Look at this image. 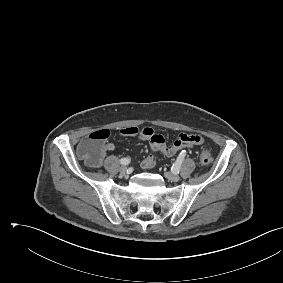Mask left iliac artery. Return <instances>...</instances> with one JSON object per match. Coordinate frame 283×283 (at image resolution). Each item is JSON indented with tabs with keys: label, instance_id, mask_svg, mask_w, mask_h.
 Wrapping results in <instances>:
<instances>
[{
	"label": "left iliac artery",
	"instance_id": "44dca946",
	"mask_svg": "<svg viewBox=\"0 0 283 283\" xmlns=\"http://www.w3.org/2000/svg\"><path fill=\"white\" fill-rule=\"evenodd\" d=\"M185 155H186V154H185L184 152H182V153L179 154V156H178L176 162H175V163L173 164V166H172V171H173L174 173H179V170H180V168H181V165H182V162H183V160H184Z\"/></svg>",
	"mask_w": 283,
	"mask_h": 283
}]
</instances>
